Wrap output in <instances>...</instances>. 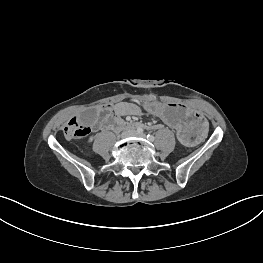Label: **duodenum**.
<instances>
[{
	"label": "duodenum",
	"mask_w": 263,
	"mask_h": 263,
	"mask_svg": "<svg viewBox=\"0 0 263 263\" xmlns=\"http://www.w3.org/2000/svg\"><path fill=\"white\" fill-rule=\"evenodd\" d=\"M106 127H108L109 129L120 128L124 130H129V129L142 128L143 125L139 123L125 122V121L120 120L116 116H111L110 118H108L106 122Z\"/></svg>",
	"instance_id": "1"
}]
</instances>
